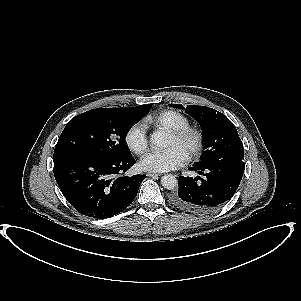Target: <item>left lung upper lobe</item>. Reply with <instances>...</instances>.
Listing matches in <instances>:
<instances>
[{
	"label": "left lung upper lobe",
	"instance_id": "5c2ea615",
	"mask_svg": "<svg viewBox=\"0 0 301 301\" xmlns=\"http://www.w3.org/2000/svg\"><path fill=\"white\" fill-rule=\"evenodd\" d=\"M183 109L182 104L169 105ZM185 112L192 116L201 125L205 136L206 151L201 161L193 167H206L212 162L227 157L244 159L243 144L238 136L234 124L222 113L205 106L188 105Z\"/></svg>",
	"mask_w": 301,
	"mask_h": 301
}]
</instances>
